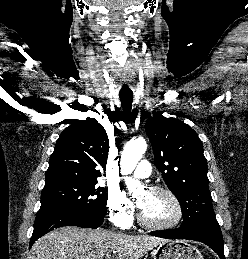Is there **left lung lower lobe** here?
<instances>
[{"mask_svg": "<svg viewBox=\"0 0 248 259\" xmlns=\"http://www.w3.org/2000/svg\"><path fill=\"white\" fill-rule=\"evenodd\" d=\"M150 235L166 239H188L199 241L213 249L221 259H225L223 237L216 218L181 225L176 229L157 232L153 231Z\"/></svg>", "mask_w": 248, "mask_h": 259, "instance_id": "0a47b994", "label": "left lung lower lobe"}]
</instances>
